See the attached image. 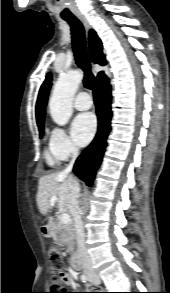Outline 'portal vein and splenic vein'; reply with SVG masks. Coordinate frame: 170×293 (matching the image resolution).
<instances>
[{"mask_svg": "<svg viewBox=\"0 0 170 293\" xmlns=\"http://www.w3.org/2000/svg\"><path fill=\"white\" fill-rule=\"evenodd\" d=\"M56 202H57V198H56V197H52V198L50 199V204H51V205H54ZM60 220H61V222H62L63 224H68V223H70V221H71L70 216H69V214H67V213L62 214Z\"/></svg>", "mask_w": 170, "mask_h": 293, "instance_id": "1", "label": "portal vein and splenic vein"}]
</instances>
